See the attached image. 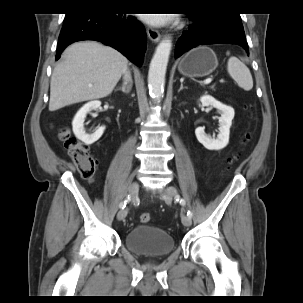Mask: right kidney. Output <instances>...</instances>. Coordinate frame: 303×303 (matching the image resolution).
Returning a JSON list of instances; mask_svg holds the SVG:
<instances>
[{
  "label": "right kidney",
  "instance_id": "1",
  "mask_svg": "<svg viewBox=\"0 0 303 303\" xmlns=\"http://www.w3.org/2000/svg\"><path fill=\"white\" fill-rule=\"evenodd\" d=\"M101 106L100 101H91L85 104L80 110L76 113L73 121V132L75 136L81 140L86 145H91L95 143L97 140L100 139V137L103 135L105 127L101 126L99 127L94 133L87 134L84 129V121L86 118V115L91 112L92 110H97Z\"/></svg>",
  "mask_w": 303,
  "mask_h": 303
}]
</instances>
